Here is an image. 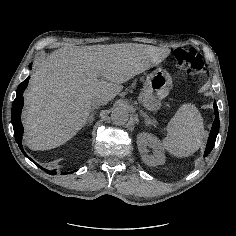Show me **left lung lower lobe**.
I'll return each instance as SVG.
<instances>
[{
    "mask_svg": "<svg viewBox=\"0 0 236 236\" xmlns=\"http://www.w3.org/2000/svg\"><path fill=\"white\" fill-rule=\"evenodd\" d=\"M214 110H215V120L212 125V129H211V132L209 135L208 143H207V146L205 149V153H204L205 156L208 155L211 152V150L213 149V147L215 145L217 134L219 132V117H218L217 105L215 102H214Z\"/></svg>",
    "mask_w": 236,
    "mask_h": 236,
    "instance_id": "obj_1",
    "label": "left lung lower lobe"
}]
</instances>
